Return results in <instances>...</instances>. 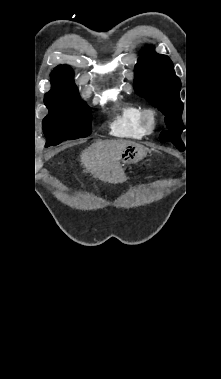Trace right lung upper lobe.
Returning <instances> with one entry per match:
<instances>
[{
	"label": "right lung upper lobe",
	"instance_id": "obj_1",
	"mask_svg": "<svg viewBox=\"0 0 221 379\" xmlns=\"http://www.w3.org/2000/svg\"><path fill=\"white\" fill-rule=\"evenodd\" d=\"M51 90L46 93L44 101H75L79 99L73 81V71L67 65L57 66L51 73Z\"/></svg>",
	"mask_w": 221,
	"mask_h": 379
}]
</instances>
